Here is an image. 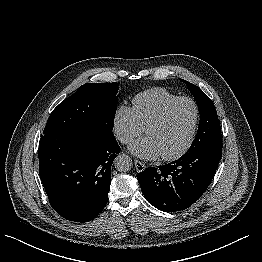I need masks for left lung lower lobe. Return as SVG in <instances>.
<instances>
[{
  "label": "left lung lower lobe",
  "instance_id": "left-lung-lower-lobe-1",
  "mask_svg": "<svg viewBox=\"0 0 262 262\" xmlns=\"http://www.w3.org/2000/svg\"><path fill=\"white\" fill-rule=\"evenodd\" d=\"M221 156L222 149L187 152L169 164L142 171L138 181L146 200L165 212L190 207L208 188Z\"/></svg>",
  "mask_w": 262,
  "mask_h": 262
}]
</instances>
